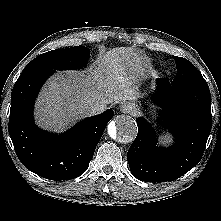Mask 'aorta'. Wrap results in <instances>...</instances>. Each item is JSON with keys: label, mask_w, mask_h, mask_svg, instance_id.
Returning <instances> with one entry per match:
<instances>
[{"label": "aorta", "mask_w": 221, "mask_h": 221, "mask_svg": "<svg viewBox=\"0 0 221 221\" xmlns=\"http://www.w3.org/2000/svg\"><path fill=\"white\" fill-rule=\"evenodd\" d=\"M109 136L117 142H132L138 132L136 121L130 116H117L107 127Z\"/></svg>", "instance_id": "762f6f07"}]
</instances>
